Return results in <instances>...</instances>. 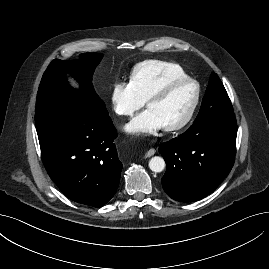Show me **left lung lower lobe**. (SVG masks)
<instances>
[{
    "label": "left lung lower lobe",
    "mask_w": 269,
    "mask_h": 269,
    "mask_svg": "<svg viewBox=\"0 0 269 269\" xmlns=\"http://www.w3.org/2000/svg\"><path fill=\"white\" fill-rule=\"evenodd\" d=\"M235 114L197 120L178 138L159 148L167 170L162 187L180 202L200 200L229 174L235 160Z\"/></svg>",
    "instance_id": "0a47b994"
}]
</instances>
